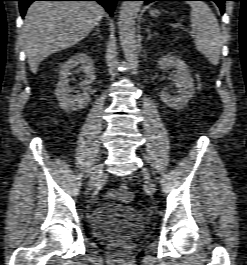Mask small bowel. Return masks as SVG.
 I'll return each instance as SVG.
<instances>
[{
	"mask_svg": "<svg viewBox=\"0 0 247 265\" xmlns=\"http://www.w3.org/2000/svg\"><path fill=\"white\" fill-rule=\"evenodd\" d=\"M106 197L122 201H131L134 198V195L132 192L121 194L116 190H109L106 193Z\"/></svg>",
	"mask_w": 247,
	"mask_h": 265,
	"instance_id": "c3829d8e",
	"label": "small bowel"
}]
</instances>
